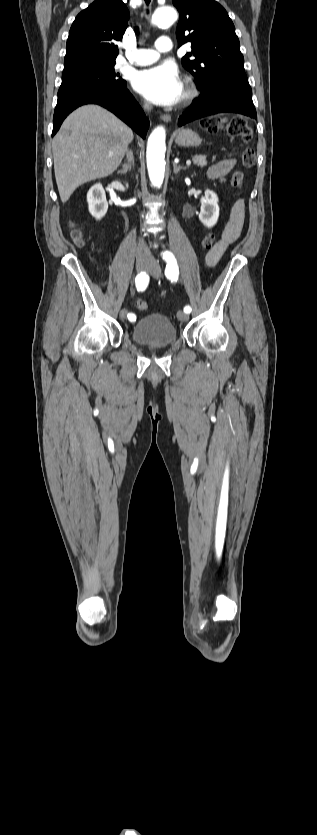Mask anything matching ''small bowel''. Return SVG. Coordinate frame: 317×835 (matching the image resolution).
Returning a JSON list of instances; mask_svg holds the SVG:
<instances>
[{"label": "small bowel", "instance_id": "c3829d8e", "mask_svg": "<svg viewBox=\"0 0 317 835\" xmlns=\"http://www.w3.org/2000/svg\"><path fill=\"white\" fill-rule=\"evenodd\" d=\"M235 166L236 159H224L211 165L207 169L206 175L209 179L225 182ZM243 224L244 209L243 205L238 203L233 207L231 218L223 231L221 240L214 247H212L205 256V264L207 266L212 267L217 264L226 248L235 242L240 236Z\"/></svg>", "mask_w": 317, "mask_h": 835}]
</instances>
